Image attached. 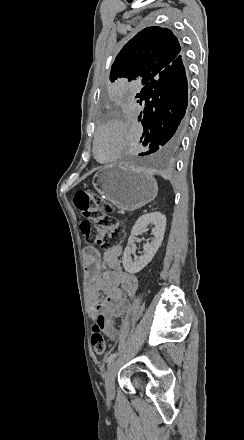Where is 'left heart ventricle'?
I'll use <instances>...</instances> for the list:
<instances>
[{
  "label": "left heart ventricle",
  "instance_id": "1",
  "mask_svg": "<svg viewBox=\"0 0 244 440\" xmlns=\"http://www.w3.org/2000/svg\"><path fill=\"white\" fill-rule=\"evenodd\" d=\"M112 136L109 131L102 132L97 140V153L100 159H105L110 154Z\"/></svg>",
  "mask_w": 244,
  "mask_h": 440
}]
</instances>
